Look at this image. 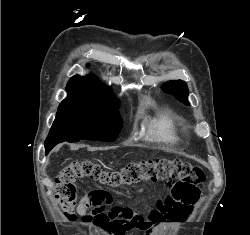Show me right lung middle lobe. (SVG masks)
<instances>
[{
    "label": "right lung middle lobe",
    "mask_w": 250,
    "mask_h": 235,
    "mask_svg": "<svg viewBox=\"0 0 250 235\" xmlns=\"http://www.w3.org/2000/svg\"><path fill=\"white\" fill-rule=\"evenodd\" d=\"M119 101L64 100L57 112L45 145L80 140L115 141L123 121Z\"/></svg>",
    "instance_id": "obj_1"
}]
</instances>
